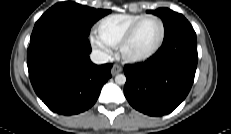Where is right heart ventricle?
Masks as SVG:
<instances>
[{"instance_id":"e07e8e85","label":"right heart ventricle","mask_w":231,"mask_h":134,"mask_svg":"<svg viewBox=\"0 0 231 134\" xmlns=\"http://www.w3.org/2000/svg\"><path fill=\"white\" fill-rule=\"evenodd\" d=\"M144 14H112L102 18L97 26L98 37L110 47H117L128 29Z\"/></svg>"}]
</instances>
